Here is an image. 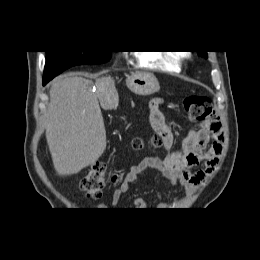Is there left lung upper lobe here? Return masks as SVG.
Segmentation results:
<instances>
[{"mask_svg": "<svg viewBox=\"0 0 260 260\" xmlns=\"http://www.w3.org/2000/svg\"><path fill=\"white\" fill-rule=\"evenodd\" d=\"M199 54L203 57H207L206 51H199Z\"/></svg>", "mask_w": 260, "mask_h": 260, "instance_id": "1", "label": "left lung upper lobe"}]
</instances>
